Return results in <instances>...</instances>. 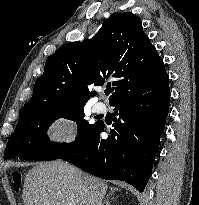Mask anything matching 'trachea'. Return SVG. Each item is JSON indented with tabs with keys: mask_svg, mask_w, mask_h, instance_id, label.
I'll use <instances>...</instances> for the list:
<instances>
[{
	"mask_svg": "<svg viewBox=\"0 0 199 205\" xmlns=\"http://www.w3.org/2000/svg\"><path fill=\"white\" fill-rule=\"evenodd\" d=\"M112 91L111 90H105V94L109 95Z\"/></svg>",
	"mask_w": 199,
	"mask_h": 205,
	"instance_id": "1",
	"label": "trachea"
}]
</instances>
